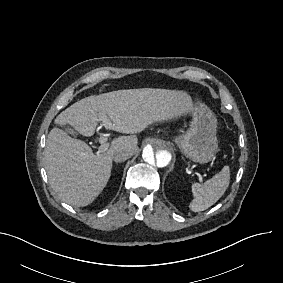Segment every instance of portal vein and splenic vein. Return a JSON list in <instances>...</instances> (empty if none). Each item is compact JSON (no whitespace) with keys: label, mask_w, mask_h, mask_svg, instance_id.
Returning <instances> with one entry per match:
<instances>
[{"label":"portal vein and splenic vein","mask_w":283,"mask_h":283,"mask_svg":"<svg viewBox=\"0 0 283 283\" xmlns=\"http://www.w3.org/2000/svg\"><path fill=\"white\" fill-rule=\"evenodd\" d=\"M101 121L103 122V126L105 127V129L111 130V129L114 128V124L110 121V119H108L107 116L102 117ZM107 140H108V138H107L106 134H103L100 137L99 142L101 143V146L99 148V152H104L108 149L109 144L107 143Z\"/></svg>","instance_id":"portal-vein-and-splenic-vein-1"}]
</instances>
